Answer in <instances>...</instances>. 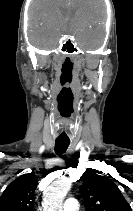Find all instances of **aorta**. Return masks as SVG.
<instances>
[{
  "label": "aorta",
  "instance_id": "aorta-1",
  "mask_svg": "<svg viewBox=\"0 0 133 211\" xmlns=\"http://www.w3.org/2000/svg\"><path fill=\"white\" fill-rule=\"evenodd\" d=\"M67 179L56 180L44 193L43 211H62V203L71 189Z\"/></svg>",
  "mask_w": 133,
  "mask_h": 211
}]
</instances>
